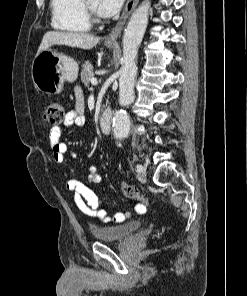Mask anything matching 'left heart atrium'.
<instances>
[{
  "label": "left heart atrium",
  "instance_id": "39dd6f15",
  "mask_svg": "<svg viewBox=\"0 0 247 296\" xmlns=\"http://www.w3.org/2000/svg\"><path fill=\"white\" fill-rule=\"evenodd\" d=\"M125 0H99L98 12L103 17L115 15L122 7Z\"/></svg>",
  "mask_w": 247,
  "mask_h": 296
}]
</instances>
